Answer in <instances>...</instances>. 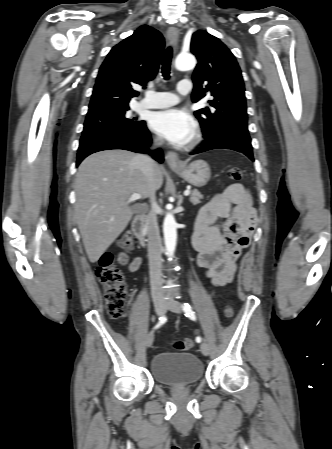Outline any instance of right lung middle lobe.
<instances>
[{
  "label": "right lung middle lobe",
  "instance_id": "obj_1",
  "mask_svg": "<svg viewBox=\"0 0 332 449\" xmlns=\"http://www.w3.org/2000/svg\"><path fill=\"white\" fill-rule=\"evenodd\" d=\"M128 110L129 107L88 112L82 135L100 131L128 133L143 127L145 122L136 121V117H130Z\"/></svg>",
  "mask_w": 332,
  "mask_h": 449
}]
</instances>
